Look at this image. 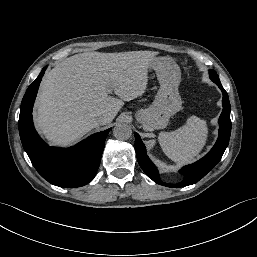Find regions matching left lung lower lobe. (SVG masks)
<instances>
[{
    "instance_id": "1",
    "label": "left lung lower lobe",
    "mask_w": 257,
    "mask_h": 257,
    "mask_svg": "<svg viewBox=\"0 0 257 257\" xmlns=\"http://www.w3.org/2000/svg\"><path fill=\"white\" fill-rule=\"evenodd\" d=\"M223 93V111L219 118V137L212 150L202 159L194 164L183 167L180 173L184 175V180L178 184H167L160 180L158 171L146 154L145 146L140 136L135 133V150L137 160L143 171L154 182L166 187H184L198 182L204 177L221 159L228 146L231 133L230 102L227 92L221 84H217Z\"/></svg>"
}]
</instances>
